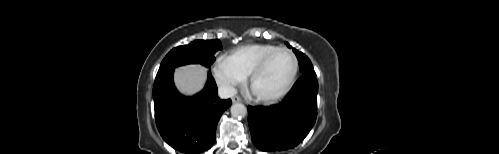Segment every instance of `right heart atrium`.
<instances>
[{"label":"right heart atrium","instance_id":"obj_1","mask_svg":"<svg viewBox=\"0 0 499 154\" xmlns=\"http://www.w3.org/2000/svg\"><path fill=\"white\" fill-rule=\"evenodd\" d=\"M212 73L216 84L226 94L233 93L235 87L245 81V76L228 56H220L215 60Z\"/></svg>","mask_w":499,"mask_h":154}]
</instances>
